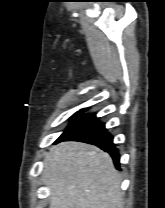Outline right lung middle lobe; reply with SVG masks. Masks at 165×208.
Wrapping results in <instances>:
<instances>
[{
	"instance_id": "dd1d6c3e",
	"label": "right lung middle lobe",
	"mask_w": 165,
	"mask_h": 208,
	"mask_svg": "<svg viewBox=\"0 0 165 208\" xmlns=\"http://www.w3.org/2000/svg\"><path fill=\"white\" fill-rule=\"evenodd\" d=\"M83 111H85V109H82L78 112H76L72 117L74 118V121L69 125L68 128H70L73 124H75L78 120H80L82 117H81V114L83 113ZM67 128V129H68Z\"/></svg>"
}]
</instances>
